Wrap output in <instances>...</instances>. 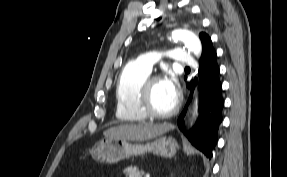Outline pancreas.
<instances>
[{"mask_svg":"<svg viewBox=\"0 0 287 177\" xmlns=\"http://www.w3.org/2000/svg\"><path fill=\"white\" fill-rule=\"evenodd\" d=\"M124 174L126 177H143L144 172L142 170H139L137 167H128L124 169Z\"/></svg>","mask_w":287,"mask_h":177,"instance_id":"pancreas-1","label":"pancreas"}]
</instances>
